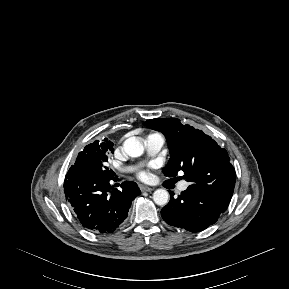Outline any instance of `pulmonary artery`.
Instances as JSON below:
<instances>
[{"label":"pulmonary artery","instance_id":"obj_1","mask_svg":"<svg viewBox=\"0 0 289 289\" xmlns=\"http://www.w3.org/2000/svg\"><path fill=\"white\" fill-rule=\"evenodd\" d=\"M165 144V137L160 133H151L145 139V147L149 156L158 154ZM188 187L187 182L183 181L179 184L178 190L185 191Z\"/></svg>","mask_w":289,"mask_h":289}]
</instances>
